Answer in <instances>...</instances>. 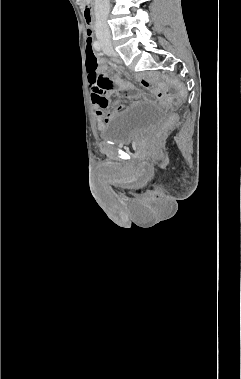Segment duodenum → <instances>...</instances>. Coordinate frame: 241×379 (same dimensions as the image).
Here are the masks:
<instances>
[{"label": "duodenum", "mask_w": 241, "mask_h": 379, "mask_svg": "<svg viewBox=\"0 0 241 379\" xmlns=\"http://www.w3.org/2000/svg\"><path fill=\"white\" fill-rule=\"evenodd\" d=\"M84 16L88 23L94 20L93 5L91 2H86L84 5Z\"/></svg>", "instance_id": "duodenum-1"}]
</instances>
